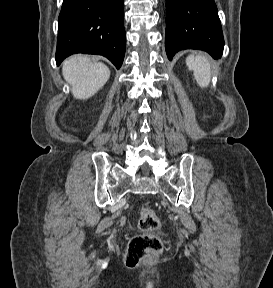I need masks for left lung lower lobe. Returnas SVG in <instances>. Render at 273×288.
<instances>
[{
    "mask_svg": "<svg viewBox=\"0 0 273 288\" xmlns=\"http://www.w3.org/2000/svg\"><path fill=\"white\" fill-rule=\"evenodd\" d=\"M166 10L165 48L170 60L184 49L221 58L224 38L214 0H166Z\"/></svg>",
    "mask_w": 273,
    "mask_h": 288,
    "instance_id": "obj_1",
    "label": "left lung lower lobe"
}]
</instances>
